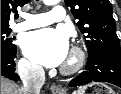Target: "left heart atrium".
I'll return each instance as SVG.
<instances>
[{"label": "left heart atrium", "mask_w": 121, "mask_h": 94, "mask_svg": "<svg viewBox=\"0 0 121 94\" xmlns=\"http://www.w3.org/2000/svg\"><path fill=\"white\" fill-rule=\"evenodd\" d=\"M23 48L31 60L46 67L63 64L69 55L67 35L53 28L29 33L24 40Z\"/></svg>", "instance_id": "39dd6f15"}]
</instances>
